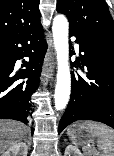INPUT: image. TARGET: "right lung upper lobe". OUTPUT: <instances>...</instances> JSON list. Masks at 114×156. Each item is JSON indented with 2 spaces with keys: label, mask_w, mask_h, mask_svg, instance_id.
I'll return each instance as SVG.
<instances>
[{
  "label": "right lung upper lobe",
  "mask_w": 114,
  "mask_h": 156,
  "mask_svg": "<svg viewBox=\"0 0 114 156\" xmlns=\"http://www.w3.org/2000/svg\"><path fill=\"white\" fill-rule=\"evenodd\" d=\"M39 0H0V40L40 23Z\"/></svg>",
  "instance_id": "1"
}]
</instances>
